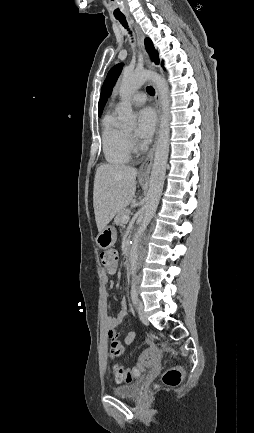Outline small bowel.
Instances as JSON below:
<instances>
[{"instance_id": "obj_1", "label": "small bowel", "mask_w": 254, "mask_h": 433, "mask_svg": "<svg viewBox=\"0 0 254 433\" xmlns=\"http://www.w3.org/2000/svg\"><path fill=\"white\" fill-rule=\"evenodd\" d=\"M107 282V279H105ZM128 307L126 300H122L117 312L114 315H104L102 319V326L110 340V356L112 358L120 357L125 350V347L131 344L136 338V332L129 331L123 339L119 338L116 331L117 326L122 322L123 318L127 315ZM146 351L151 352L156 357V349L150 346Z\"/></svg>"}]
</instances>
